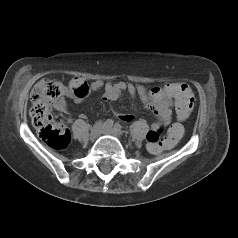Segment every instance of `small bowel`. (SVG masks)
I'll use <instances>...</instances> for the list:
<instances>
[{"mask_svg":"<svg viewBox=\"0 0 238 238\" xmlns=\"http://www.w3.org/2000/svg\"><path fill=\"white\" fill-rule=\"evenodd\" d=\"M177 85L178 83H171L163 87H155L147 90L143 85L130 82L119 81L104 83L101 80H97L92 83H87L82 78H73L69 83V88L65 90L64 95L73 98L76 102H82L91 92L100 90H104V100L106 102L115 101L124 93L129 94L132 98L138 96L141 101L154 112L158 120L157 123L152 124V129H163L172 118V107L175 98L169 91ZM56 109L66 114L69 112L68 105L64 99H61L56 104ZM119 118L129 122L133 119V116L120 114Z\"/></svg>","mask_w":238,"mask_h":238,"instance_id":"obj_1","label":"small bowel"}]
</instances>
